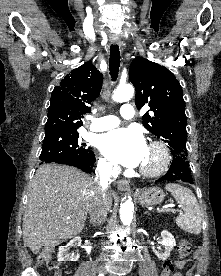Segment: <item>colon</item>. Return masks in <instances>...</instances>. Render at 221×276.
<instances>
[{
	"label": "colon",
	"mask_w": 221,
	"mask_h": 276,
	"mask_svg": "<svg viewBox=\"0 0 221 276\" xmlns=\"http://www.w3.org/2000/svg\"><path fill=\"white\" fill-rule=\"evenodd\" d=\"M192 251V244L182 239L178 246L179 258L175 262L166 261L163 265L161 276H173L175 268L181 269L186 262V258ZM39 261L45 263L46 266L55 272V276H61V263L53 258L52 250L49 248L44 249L39 255Z\"/></svg>",
	"instance_id": "obj_1"
}]
</instances>
